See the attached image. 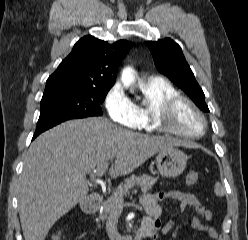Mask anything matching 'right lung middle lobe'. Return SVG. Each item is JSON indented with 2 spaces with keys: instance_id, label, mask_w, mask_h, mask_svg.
Masks as SVG:
<instances>
[{
  "instance_id": "right-lung-middle-lobe-1",
  "label": "right lung middle lobe",
  "mask_w": 248,
  "mask_h": 240,
  "mask_svg": "<svg viewBox=\"0 0 248 240\" xmlns=\"http://www.w3.org/2000/svg\"><path fill=\"white\" fill-rule=\"evenodd\" d=\"M109 89L58 88L44 91L38 121L101 116Z\"/></svg>"
}]
</instances>
